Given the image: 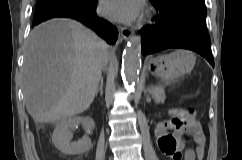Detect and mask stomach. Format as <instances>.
Returning <instances> with one entry per match:
<instances>
[{"label": "stomach", "instance_id": "obj_1", "mask_svg": "<svg viewBox=\"0 0 242 160\" xmlns=\"http://www.w3.org/2000/svg\"><path fill=\"white\" fill-rule=\"evenodd\" d=\"M191 51L179 49L169 55H162L149 62V71L162 81L174 79L177 75L188 73L195 65Z\"/></svg>", "mask_w": 242, "mask_h": 160}]
</instances>
